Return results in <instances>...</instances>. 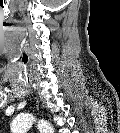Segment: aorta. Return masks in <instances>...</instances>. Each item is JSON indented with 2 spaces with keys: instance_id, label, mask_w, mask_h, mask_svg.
I'll list each match as a JSON object with an SVG mask.
<instances>
[{
  "instance_id": "obj_1",
  "label": "aorta",
  "mask_w": 120,
  "mask_h": 133,
  "mask_svg": "<svg viewBox=\"0 0 120 133\" xmlns=\"http://www.w3.org/2000/svg\"><path fill=\"white\" fill-rule=\"evenodd\" d=\"M34 121H35V118L33 116H30V115L19 116L13 121L12 130L19 133L27 131ZM40 128L43 129V131L52 132V127L50 126L49 123L45 121H41Z\"/></svg>"
}]
</instances>
